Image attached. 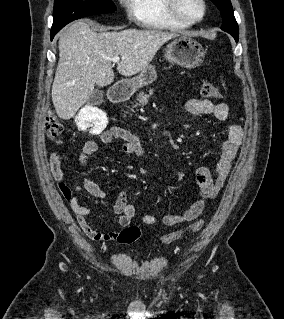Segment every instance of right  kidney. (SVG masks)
<instances>
[{
	"label": "right kidney",
	"mask_w": 284,
	"mask_h": 319,
	"mask_svg": "<svg viewBox=\"0 0 284 319\" xmlns=\"http://www.w3.org/2000/svg\"><path fill=\"white\" fill-rule=\"evenodd\" d=\"M75 121L81 131L92 127L96 133H101L108 123L106 114L100 109L91 106L82 108L76 116Z\"/></svg>",
	"instance_id": "1"
}]
</instances>
